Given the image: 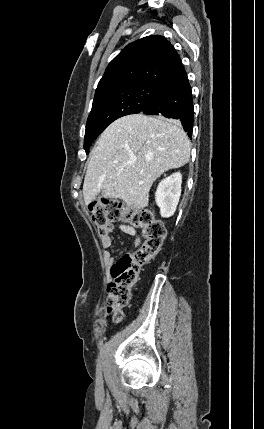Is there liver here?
<instances>
[{
	"label": "liver",
	"mask_w": 264,
	"mask_h": 429,
	"mask_svg": "<svg viewBox=\"0 0 264 429\" xmlns=\"http://www.w3.org/2000/svg\"><path fill=\"white\" fill-rule=\"evenodd\" d=\"M190 151V140L178 121L143 114L115 120L91 153L83 184L85 204L105 197L119 198L131 208L146 207L153 182L165 171L187 164ZM120 228L135 234L130 226Z\"/></svg>",
	"instance_id": "1"
}]
</instances>
